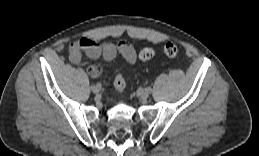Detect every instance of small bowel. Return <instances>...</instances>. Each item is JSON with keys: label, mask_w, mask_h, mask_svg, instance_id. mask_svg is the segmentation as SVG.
<instances>
[{"label": "small bowel", "mask_w": 259, "mask_h": 156, "mask_svg": "<svg viewBox=\"0 0 259 156\" xmlns=\"http://www.w3.org/2000/svg\"><path fill=\"white\" fill-rule=\"evenodd\" d=\"M85 53L92 59L103 58L106 61L113 60L117 54H120L129 64L136 62V53L134 48L127 42L113 44L111 42H97L91 38H80L70 43L69 58L74 64H79L82 55ZM87 71L93 78L101 74V69L97 65L91 64Z\"/></svg>", "instance_id": "small-bowel-1"}]
</instances>
